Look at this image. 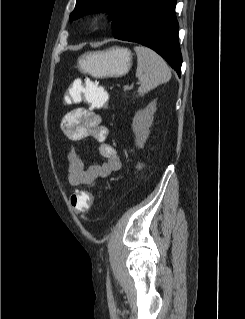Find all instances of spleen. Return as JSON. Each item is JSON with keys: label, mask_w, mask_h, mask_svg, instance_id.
Returning <instances> with one entry per match:
<instances>
[{"label": "spleen", "mask_w": 245, "mask_h": 319, "mask_svg": "<svg viewBox=\"0 0 245 319\" xmlns=\"http://www.w3.org/2000/svg\"><path fill=\"white\" fill-rule=\"evenodd\" d=\"M134 51L137 54L136 77L140 81L139 95H144L170 80L169 66L155 51L145 46H136Z\"/></svg>", "instance_id": "3e777b00"}]
</instances>
